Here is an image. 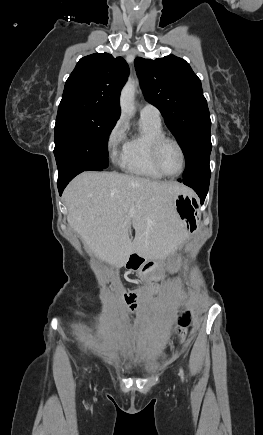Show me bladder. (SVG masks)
<instances>
[{
    "instance_id": "obj_1",
    "label": "bladder",
    "mask_w": 263,
    "mask_h": 435,
    "mask_svg": "<svg viewBox=\"0 0 263 435\" xmlns=\"http://www.w3.org/2000/svg\"><path fill=\"white\" fill-rule=\"evenodd\" d=\"M139 373H143V374H149L155 371L154 368H147V369H141V370H136Z\"/></svg>"
}]
</instances>
